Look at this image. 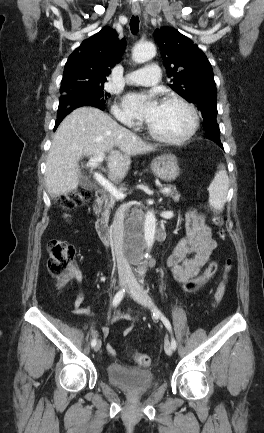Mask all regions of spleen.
<instances>
[{"instance_id": "3e777b00", "label": "spleen", "mask_w": 264, "mask_h": 433, "mask_svg": "<svg viewBox=\"0 0 264 433\" xmlns=\"http://www.w3.org/2000/svg\"><path fill=\"white\" fill-rule=\"evenodd\" d=\"M228 189L229 179L226 169L222 165L208 188L209 203L213 209L217 211L224 209Z\"/></svg>"}]
</instances>
